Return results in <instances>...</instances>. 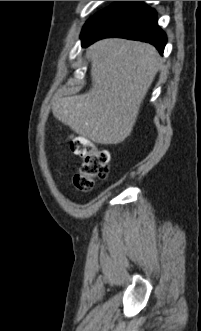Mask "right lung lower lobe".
Returning <instances> with one entry per match:
<instances>
[{
	"instance_id": "98d812e1",
	"label": "right lung lower lobe",
	"mask_w": 201,
	"mask_h": 331,
	"mask_svg": "<svg viewBox=\"0 0 201 331\" xmlns=\"http://www.w3.org/2000/svg\"><path fill=\"white\" fill-rule=\"evenodd\" d=\"M107 37H121L148 42L160 54L167 41L157 24L155 10L143 1H117L86 32L81 34L82 46Z\"/></svg>"
}]
</instances>
